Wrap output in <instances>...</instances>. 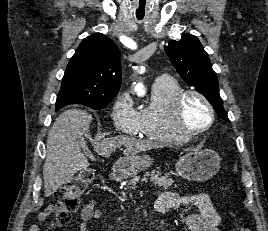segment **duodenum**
Returning <instances> with one entry per match:
<instances>
[{"instance_id":"obj_1","label":"duodenum","mask_w":268,"mask_h":231,"mask_svg":"<svg viewBox=\"0 0 268 231\" xmlns=\"http://www.w3.org/2000/svg\"><path fill=\"white\" fill-rule=\"evenodd\" d=\"M119 177V173L117 171H113L111 174H110V179L111 180H117Z\"/></svg>"}]
</instances>
